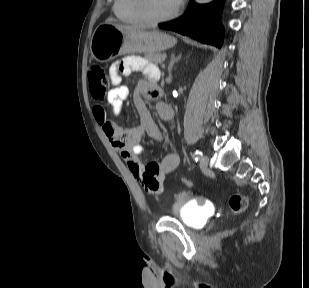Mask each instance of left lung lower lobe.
I'll use <instances>...</instances> for the list:
<instances>
[{"label": "left lung lower lobe", "instance_id": "left-lung-lower-lobe-1", "mask_svg": "<svg viewBox=\"0 0 309 288\" xmlns=\"http://www.w3.org/2000/svg\"><path fill=\"white\" fill-rule=\"evenodd\" d=\"M223 0L199 5L190 0L185 14L175 20L158 24L159 28L190 36L203 43L221 47L224 30L220 24Z\"/></svg>", "mask_w": 309, "mask_h": 288}]
</instances>
